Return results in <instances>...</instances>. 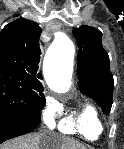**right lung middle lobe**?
<instances>
[{
	"mask_svg": "<svg viewBox=\"0 0 124 149\" xmlns=\"http://www.w3.org/2000/svg\"><path fill=\"white\" fill-rule=\"evenodd\" d=\"M43 90L19 75L0 71V118L39 116L45 105Z\"/></svg>",
	"mask_w": 124,
	"mask_h": 149,
	"instance_id": "1",
	"label": "right lung middle lobe"
}]
</instances>
